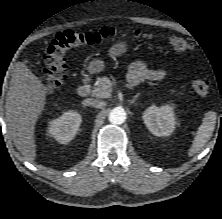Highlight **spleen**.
<instances>
[{
	"mask_svg": "<svg viewBox=\"0 0 222 219\" xmlns=\"http://www.w3.org/2000/svg\"><path fill=\"white\" fill-rule=\"evenodd\" d=\"M216 124V113L209 111L205 114L202 124L199 126L188 156L195 155L211 138Z\"/></svg>",
	"mask_w": 222,
	"mask_h": 219,
	"instance_id": "spleen-1",
	"label": "spleen"
}]
</instances>
